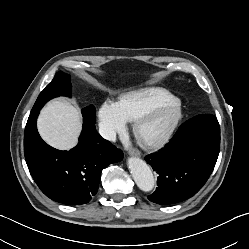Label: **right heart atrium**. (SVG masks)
I'll return each mask as SVG.
<instances>
[{"label":"right heart atrium","instance_id":"right-heart-atrium-1","mask_svg":"<svg viewBox=\"0 0 249 249\" xmlns=\"http://www.w3.org/2000/svg\"><path fill=\"white\" fill-rule=\"evenodd\" d=\"M98 119L101 134L110 141L123 133L128 125V120L122 114L118 102L112 100H106L102 104Z\"/></svg>","mask_w":249,"mask_h":249}]
</instances>
